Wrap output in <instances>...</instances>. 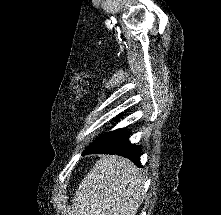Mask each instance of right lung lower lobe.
<instances>
[{"mask_svg":"<svg viewBox=\"0 0 221 215\" xmlns=\"http://www.w3.org/2000/svg\"><path fill=\"white\" fill-rule=\"evenodd\" d=\"M94 153L121 155L133 161L137 166H141L139 146L129 142V132L125 129L106 133L87 147L83 154Z\"/></svg>","mask_w":221,"mask_h":215,"instance_id":"98d812e1","label":"right lung lower lobe"}]
</instances>
